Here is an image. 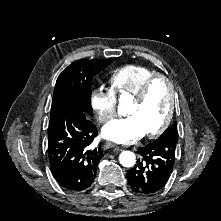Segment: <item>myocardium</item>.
I'll return each instance as SVG.
<instances>
[{
	"instance_id": "obj_1",
	"label": "myocardium",
	"mask_w": 221,
	"mask_h": 221,
	"mask_svg": "<svg viewBox=\"0 0 221 221\" xmlns=\"http://www.w3.org/2000/svg\"><path fill=\"white\" fill-rule=\"evenodd\" d=\"M159 81L165 82L168 87L169 107H168L167 114H166L163 122L160 124V126L158 128H156L155 130L145 134V136L149 139L156 138V137L160 136L161 134H163L172 121V118L174 115V110H175V102H176V94H175L174 85L169 77L162 75V74H156L154 76L149 77L143 83V85L140 88V90L138 91V93L136 95H134V97H133V102L136 105L142 104L146 100L148 93H149L150 89L152 88V86L156 82H159Z\"/></svg>"
}]
</instances>
